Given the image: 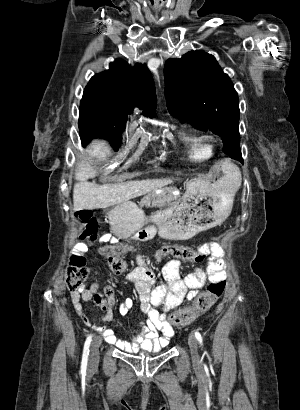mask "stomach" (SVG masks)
I'll return each instance as SVG.
<instances>
[{
    "mask_svg": "<svg viewBox=\"0 0 300 410\" xmlns=\"http://www.w3.org/2000/svg\"><path fill=\"white\" fill-rule=\"evenodd\" d=\"M224 177L216 182L192 179L178 203L147 218L134 202L126 201L107 210L111 230L118 238H127L149 221L158 226L161 237L186 240L199 232L221 224L231 213L234 191ZM156 193L152 191L148 196Z\"/></svg>",
    "mask_w": 300,
    "mask_h": 410,
    "instance_id": "1",
    "label": "stomach"
}]
</instances>
